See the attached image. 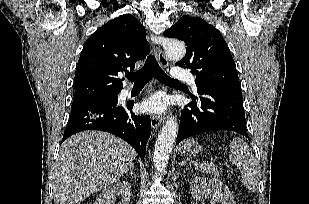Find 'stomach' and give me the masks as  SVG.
Returning <instances> with one entry per match:
<instances>
[{
  "label": "stomach",
  "instance_id": "1",
  "mask_svg": "<svg viewBox=\"0 0 309 204\" xmlns=\"http://www.w3.org/2000/svg\"><path fill=\"white\" fill-rule=\"evenodd\" d=\"M202 151V146L193 139L185 140L179 147V152L187 157H195Z\"/></svg>",
  "mask_w": 309,
  "mask_h": 204
}]
</instances>
